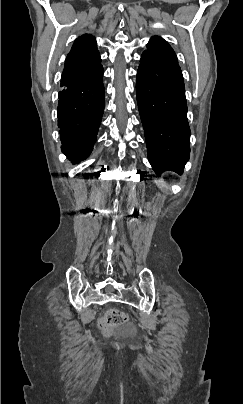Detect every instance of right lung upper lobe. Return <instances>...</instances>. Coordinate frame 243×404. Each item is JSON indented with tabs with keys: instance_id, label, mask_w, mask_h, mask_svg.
<instances>
[{
	"instance_id": "right-lung-upper-lobe-1",
	"label": "right lung upper lobe",
	"mask_w": 243,
	"mask_h": 404,
	"mask_svg": "<svg viewBox=\"0 0 243 404\" xmlns=\"http://www.w3.org/2000/svg\"><path fill=\"white\" fill-rule=\"evenodd\" d=\"M100 62L101 58L95 38L89 34L77 38L67 55L61 86H64L69 80L90 73L100 65Z\"/></svg>"
}]
</instances>
